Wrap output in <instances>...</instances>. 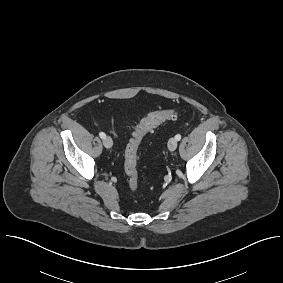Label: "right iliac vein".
<instances>
[{
    "instance_id": "right-iliac-vein-1",
    "label": "right iliac vein",
    "mask_w": 283,
    "mask_h": 283,
    "mask_svg": "<svg viewBox=\"0 0 283 283\" xmlns=\"http://www.w3.org/2000/svg\"><path fill=\"white\" fill-rule=\"evenodd\" d=\"M103 144L106 148H111L113 146V141L111 137L107 136L103 139Z\"/></svg>"
}]
</instances>
